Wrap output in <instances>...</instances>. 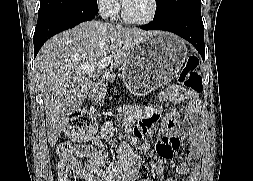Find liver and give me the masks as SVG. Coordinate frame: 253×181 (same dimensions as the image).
Instances as JSON below:
<instances>
[{
	"mask_svg": "<svg viewBox=\"0 0 253 181\" xmlns=\"http://www.w3.org/2000/svg\"><path fill=\"white\" fill-rule=\"evenodd\" d=\"M154 31L124 28L100 21L83 22L48 40L35 59V80L44 100L49 145L54 146L69 116L93 90L84 65L114 54L113 67H122L129 50Z\"/></svg>",
	"mask_w": 253,
	"mask_h": 181,
	"instance_id": "liver-1",
	"label": "liver"
}]
</instances>
